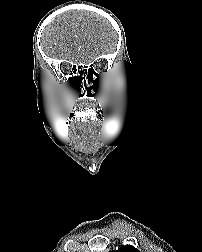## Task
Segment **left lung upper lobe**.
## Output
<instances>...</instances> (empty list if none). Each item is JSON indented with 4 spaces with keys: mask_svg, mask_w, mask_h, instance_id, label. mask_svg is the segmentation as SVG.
Wrapping results in <instances>:
<instances>
[{
    "mask_svg": "<svg viewBox=\"0 0 202 252\" xmlns=\"http://www.w3.org/2000/svg\"><path fill=\"white\" fill-rule=\"evenodd\" d=\"M110 252H140V251L131 245H126L121 247L117 251H110Z\"/></svg>",
    "mask_w": 202,
    "mask_h": 252,
    "instance_id": "left-lung-upper-lobe-1",
    "label": "left lung upper lobe"
}]
</instances>
